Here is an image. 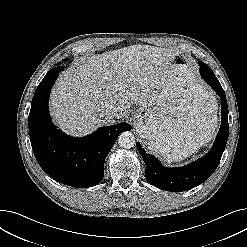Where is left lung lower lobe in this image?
<instances>
[{
	"label": "left lung lower lobe",
	"mask_w": 247,
	"mask_h": 247,
	"mask_svg": "<svg viewBox=\"0 0 247 247\" xmlns=\"http://www.w3.org/2000/svg\"><path fill=\"white\" fill-rule=\"evenodd\" d=\"M199 65L203 79L221 97V127L216 141L207 155L194 163L179 168L163 167L156 157L147 154L141 144L136 143L140 155H142L144 163L146 164L145 175L147 181L162 190L182 192L202 184L213 174L225 150L229 133L228 106L225 92L212 69L203 62H200Z\"/></svg>",
	"instance_id": "left-lung-lower-lobe-1"
}]
</instances>
